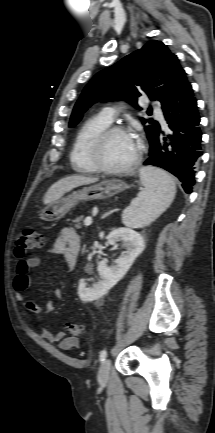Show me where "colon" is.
I'll return each instance as SVG.
<instances>
[{"label":"colon","mask_w":215,"mask_h":433,"mask_svg":"<svg viewBox=\"0 0 215 433\" xmlns=\"http://www.w3.org/2000/svg\"><path fill=\"white\" fill-rule=\"evenodd\" d=\"M42 244V235L37 230L30 226L23 227L18 234L15 254L23 259L29 251L40 248ZM67 329L72 337L77 338L85 335L86 328L82 323H71Z\"/></svg>","instance_id":"colon-1"}]
</instances>
